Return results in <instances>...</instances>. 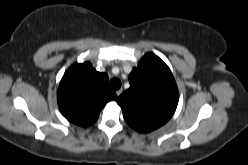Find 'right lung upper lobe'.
I'll return each mask as SVG.
<instances>
[{
	"label": "right lung upper lobe",
	"mask_w": 248,
	"mask_h": 165,
	"mask_svg": "<svg viewBox=\"0 0 248 165\" xmlns=\"http://www.w3.org/2000/svg\"><path fill=\"white\" fill-rule=\"evenodd\" d=\"M105 73L97 72L89 62L74 64L61 79L58 106L63 116L82 127L93 124L105 104L116 100Z\"/></svg>",
	"instance_id": "cb5924a9"
}]
</instances>
